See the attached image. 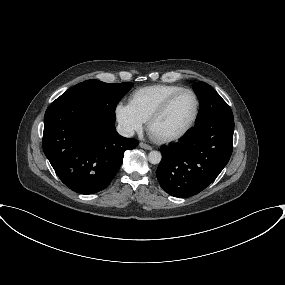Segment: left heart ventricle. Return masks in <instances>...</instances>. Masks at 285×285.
Returning a JSON list of instances; mask_svg holds the SVG:
<instances>
[{
    "label": "left heart ventricle",
    "instance_id": "b2bd125f",
    "mask_svg": "<svg viewBox=\"0 0 285 285\" xmlns=\"http://www.w3.org/2000/svg\"><path fill=\"white\" fill-rule=\"evenodd\" d=\"M195 109L192 94L179 95L169 106L167 111L152 126V133L158 137L176 134L186 127Z\"/></svg>",
    "mask_w": 285,
    "mask_h": 285
}]
</instances>
